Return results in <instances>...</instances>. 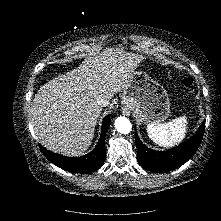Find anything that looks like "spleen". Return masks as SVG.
Segmentation results:
<instances>
[{
	"label": "spleen",
	"instance_id": "1",
	"mask_svg": "<svg viewBox=\"0 0 221 221\" xmlns=\"http://www.w3.org/2000/svg\"><path fill=\"white\" fill-rule=\"evenodd\" d=\"M147 133L149 138L159 146L172 147L185 138L187 118L183 116L163 124H149Z\"/></svg>",
	"mask_w": 221,
	"mask_h": 221
}]
</instances>
